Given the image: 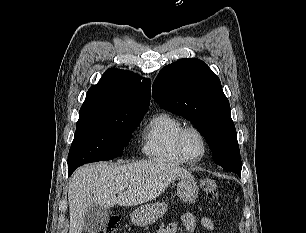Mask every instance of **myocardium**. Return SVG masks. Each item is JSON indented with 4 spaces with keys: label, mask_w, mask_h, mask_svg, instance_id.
I'll return each mask as SVG.
<instances>
[{
    "label": "myocardium",
    "mask_w": 306,
    "mask_h": 233,
    "mask_svg": "<svg viewBox=\"0 0 306 233\" xmlns=\"http://www.w3.org/2000/svg\"><path fill=\"white\" fill-rule=\"evenodd\" d=\"M190 132H194L195 134L198 135V137L200 138L202 145H203V150L202 153L196 157V158H191L187 155L185 147H184V139L186 137V135ZM177 147H178V151L181 155V157L183 158L184 161L186 162H197L200 161L207 153L208 150V143H207V139L204 135V133L197 127L195 126H185L179 133L178 138H177Z\"/></svg>",
    "instance_id": "1"
}]
</instances>
